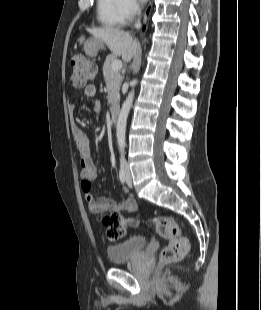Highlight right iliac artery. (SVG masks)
<instances>
[{
  "mask_svg": "<svg viewBox=\"0 0 261 310\" xmlns=\"http://www.w3.org/2000/svg\"><path fill=\"white\" fill-rule=\"evenodd\" d=\"M119 179H120L121 183H125V181H126V170H125L123 158H121V160H120Z\"/></svg>",
  "mask_w": 261,
  "mask_h": 310,
  "instance_id": "82829eb1",
  "label": "right iliac artery"
}]
</instances>
